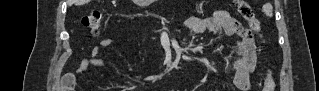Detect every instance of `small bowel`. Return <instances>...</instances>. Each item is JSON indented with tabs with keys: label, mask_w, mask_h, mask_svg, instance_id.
I'll use <instances>...</instances> for the list:
<instances>
[{
	"label": "small bowel",
	"mask_w": 319,
	"mask_h": 91,
	"mask_svg": "<svg viewBox=\"0 0 319 91\" xmlns=\"http://www.w3.org/2000/svg\"><path fill=\"white\" fill-rule=\"evenodd\" d=\"M184 26L193 34L211 32L234 38L228 66L234 74V83L237 88L241 91L251 89V75L257 67L260 49L256 45L254 34L249 29L225 11H216L204 19L190 17L185 21ZM112 44L109 38L101 39L98 46L91 50L89 57L81 61L78 70L84 71L91 66H104L106 62L99 57L100 50L110 48Z\"/></svg>",
	"instance_id": "c3829d8e"
}]
</instances>
